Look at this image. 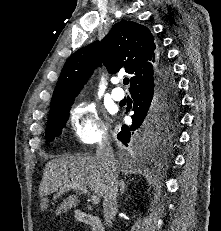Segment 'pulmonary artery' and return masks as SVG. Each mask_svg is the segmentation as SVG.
<instances>
[{
  "label": "pulmonary artery",
  "instance_id": "1",
  "mask_svg": "<svg viewBox=\"0 0 221 231\" xmlns=\"http://www.w3.org/2000/svg\"><path fill=\"white\" fill-rule=\"evenodd\" d=\"M115 83H118V79L115 80ZM111 96L114 100L120 101L124 99L125 93L120 87H116L111 91Z\"/></svg>",
  "mask_w": 221,
  "mask_h": 231
}]
</instances>
